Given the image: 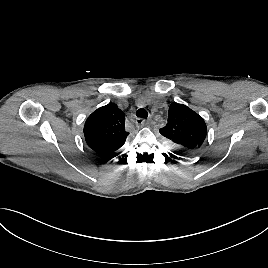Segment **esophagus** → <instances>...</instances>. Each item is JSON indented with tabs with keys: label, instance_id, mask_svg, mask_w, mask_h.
<instances>
[{
	"label": "esophagus",
	"instance_id": "obj_1",
	"mask_svg": "<svg viewBox=\"0 0 268 268\" xmlns=\"http://www.w3.org/2000/svg\"><path fill=\"white\" fill-rule=\"evenodd\" d=\"M136 124L137 125H141V126H145L146 124H148L144 119H142V118H138L137 120H136Z\"/></svg>",
	"mask_w": 268,
	"mask_h": 268
}]
</instances>
